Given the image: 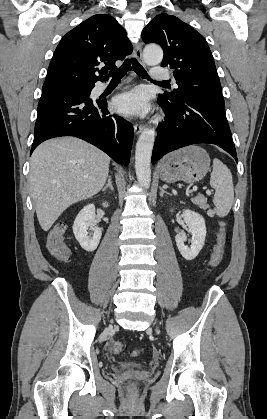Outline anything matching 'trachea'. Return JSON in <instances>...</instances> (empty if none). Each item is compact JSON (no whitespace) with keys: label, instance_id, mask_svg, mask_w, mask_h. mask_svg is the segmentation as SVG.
<instances>
[{"label":"trachea","instance_id":"3493384b","mask_svg":"<svg viewBox=\"0 0 267 419\" xmlns=\"http://www.w3.org/2000/svg\"><path fill=\"white\" fill-rule=\"evenodd\" d=\"M131 64L133 70L136 74L144 79H150L149 75L143 68V66L135 59H126L122 66L114 71H110V76L112 77V81H120L121 78L131 69ZM163 83H166L163 81Z\"/></svg>","mask_w":267,"mask_h":419}]
</instances>
